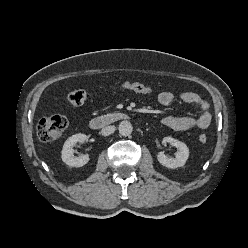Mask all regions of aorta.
<instances>
[{"label": "aorta", "mask_w": 248, "mask_h": 248, "mask_svg": "<svg viewBox=\"0 0 248 248\" xmlns=\"http://www.w3.org/2000/svg\"><path fill=\"white\" fill-rule=\"evenodd\" d=\"M118 130L120 135L129 136L133 131V127L130 121L124 120L120 122Z\"/></svg>", "instance_id": "aorta-1"}]
</instances>
